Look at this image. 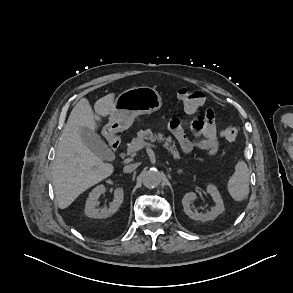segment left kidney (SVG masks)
I'll use <instances>...</instances> for the list:
<instances>
[{
  "instance_id": "left-kidney-1",
  "label": "left kidney",
  "mask_w": 293,
  "mask_h": 293,
  "mask_svg": "<svg viewBox=\"0 0 293 293\" xmlns=\"http://www.w3.org/2000/svg\"><path fill=\"white\" fill-rule=\"evenodd\" d=\"M207 193L213 198L215 205L211 211L207 213H199L196 210H192L191 204L197 199V195L194 192H189L184 195L182 199V205L184 212L193 220H200L202 222L214 220L218 215L224 211V203L217 187L213 184H209L206 189Z\"/></svg>"
}]
</instances>
